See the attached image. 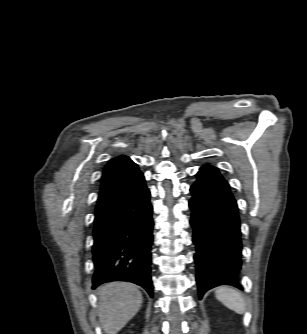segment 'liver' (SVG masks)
Instances as JSON below:
<instances>
[{
	"label": "liver",
	"mask_w": 307,
	"mask_h": 334,
	"mask_svg": "<svg viewBox=\"0 0 307 334\" xmlns=\"http://www.w3.org/2000/svg\"><path fill=\"white\" fill-rule=\"evenodd\" d=\"M98 316L106 334H117L139 311L142 294L136 285L112 282L98 291Z\"/></svg>",
	"instance_id": "liver-1"
}]
</instances>
